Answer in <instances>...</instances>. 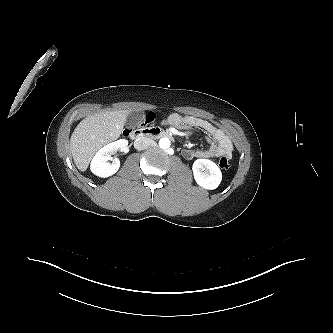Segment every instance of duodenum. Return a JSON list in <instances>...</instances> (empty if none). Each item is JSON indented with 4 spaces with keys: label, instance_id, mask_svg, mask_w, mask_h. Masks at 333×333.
<instances>
[{
    "label": "duodenum",
    "instance_id": "duodenum-1",
    "mask_svg": "<svg viewBox=\"0 0 333 333\" xmlns=\"http://www.w3.org/2000/svg\"><path fill=\"white\" fill-rule=\"evenodd\" d=\"M129 137L137 147L142 146V144L148 139L171 138L167 131L157 127L134 130L129 134Z\"/></svg>",
    "mask_w": 333,
    "mask_h": 333
}]
</instances>
